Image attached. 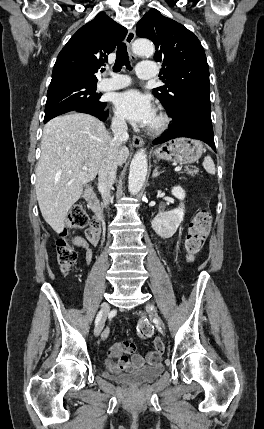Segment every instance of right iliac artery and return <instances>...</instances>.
Returning a JSON list of instances; mask_svg holds the SVG:
<instances>
[{"instance_id": "1", "label": "right iliac artery", "mask_w": 264, "mask_h": 429, "mask_svg": "<svg viewBox=\"0 0 264 429\" xmlns=\"http://www.w3.org/2000/svg\"><path fill=\"white\" fill-rule=\"evenodd\" d=\"M103 312L102 311H100L99 313H98V315H97V317H96V321H95V323H96V325L99 323V321L101 320V314H102Z\"/></svg>"}]
</instances>
